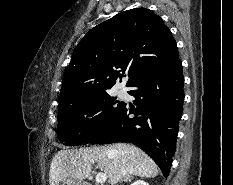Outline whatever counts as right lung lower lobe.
<instances>
[{
    "label": "right lung lower lobe",
    "instance_id": "obj_1",
    "mask_svg": "<svg viewBox=\"0 0 233 185\" xmlns=\"http://www.w3.org/2000/svg\"><path fill=\"white\" fill-rule=\"evenodd\" d=\"M178 58L153 69L129 87L135 107L123 103L109 122L86 141L92 144L131 142L143 149L168 176L176 150L184 102V76Z\"/></svg>",
    "mask_w": 233,
    "mask_h": 185
}]
</instances>
